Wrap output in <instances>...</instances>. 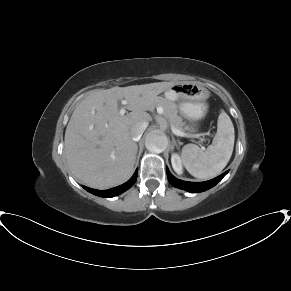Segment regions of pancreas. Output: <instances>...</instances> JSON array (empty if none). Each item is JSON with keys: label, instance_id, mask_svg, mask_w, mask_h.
Segmentation results:
<instances>
[{"label": "pancreas", "instance_id": "cf45deb5", "mask_svg": "<svg viewBox=\"0 0 291 291\" xmlns=\"http://www.w3.org/2000/svg\"><path fill=\"white\" fill-rule=\"evenodd\" d=\"M153 107H162L163 116L168 120L171 126L177 128L180 131H184V123L180 116H178L177 105L163 97H157L152 105Z\"/></svg>", "mask_w": 291, "mask_h": 291}]
</instances>
